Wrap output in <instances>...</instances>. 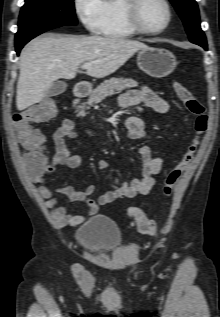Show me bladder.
<instances>
[{"label": "bladder", "mask_w": 220, "mask_h": 317, "mask_svg": "<svg viewBox=\"0 0 220 317\" xmlns=\"http://www.w3.org/2000/svg\"><path fill=\"white\" fill-rule=\"evenodd\" d=\"M75 239L82 249L102 253L119 248L122 244V233L108 217L96 215L77 228Z\"/></svg>", "instance_id": "31cf9c89"}]
</instances>
